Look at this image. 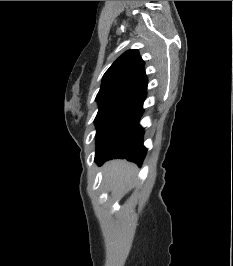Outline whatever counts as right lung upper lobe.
<instances>
[{"instance_id": "obj_1", "label": "right lung upper lobe", "mask_w": 233, "mask_h": 266, "mask_svg": "<svg viewBox=\"0 0 233 266\" xmlns=\"http://www.w3.org/2000/svg\"><path fill=\"white\" fill-rule=\"evenodd\" d=\"M144 65L137 50L126 51L104 74L96 99L123 93H146Z\"/></svg>"}]
</instances>
